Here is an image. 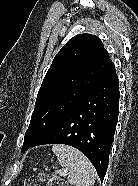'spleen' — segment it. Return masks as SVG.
<instances>
[{"label": "spleen", "mask_w": 138, "mask_h": 186, "mask_svg": "<svg viewBox=\"0 0 138 186\" xmlns=\"http://www.w3.org/2000/svg\"><path fill=\"white\" fill-rule=\"evenodd\" d=\"M52 151L60 165L68 171V182L72 186H93L96 170L85 155L67 145H54Z\"/></svg>", "instance_id": "spleen-1"}]
</instances>
